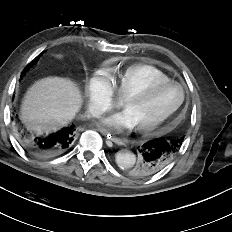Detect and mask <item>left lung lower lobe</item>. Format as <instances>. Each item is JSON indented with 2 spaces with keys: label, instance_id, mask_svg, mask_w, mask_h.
Returning <instances> with one entry per match:
<instances>
[{
  "label": "left lung lower lobe",
  "instance_id": "1",
  "mask_svg": "<svg viewBox=\"0 0 232 232\" xmlns=\"http://www.w3.org/2000/svg\"><path fill=\"white\" fill-rule=\"evenodd\" d=\"M182 141L165 137L144 143L139 150V162L131 172L136 178L148 177L161 171L176 155Z\"/></svg>",
  "mask_w": 232,
  "mask_h": 232
}]
</instances>
